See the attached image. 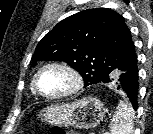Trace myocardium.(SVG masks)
Instances as JSON below:
<instances>
[{
  "label": "myocardium",
  "mask_w": 153,
  "mask_h": 134,
  "mask_svg": "<svg viewBox=\"0 0 153 134\" xmlns=\"http://www.w3.org/2000/svg\"><path fill=\"white\" fill-rule=\"evenodd\" d=\"M52 68L59 69L65 72L71 78L72 83L68 89L60 93L46 94L40 91L38 87V78L43 71ZM83 85H84V79L82 74L74 66L63 61H50L45 63L37 70L32 80L33 91L39 96L49 100H57L72 96L78 93L83 88Z\"/></svg>",
  "instance_id": "1"
}]
</instances>
